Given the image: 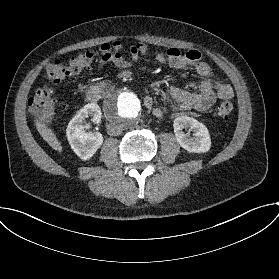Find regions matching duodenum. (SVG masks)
<instances>
[{
	"label": "duodenum",
	"instance_id": "410a0bca",
	"mask_svg": "<svg viewBox=\"0 0 279 279\" xmlns=\"http://www.w3.org/2000/svg\"><path fill=\"white\" fill-rule=\"evenodd\" d=\"M114 89V84L111 81H102L91 86L86 93V99L89 102H96L101 97L110 94Z\"/></svg>",
	"mask_w": 279,
	"mask_h": 279
}]
</instances>
